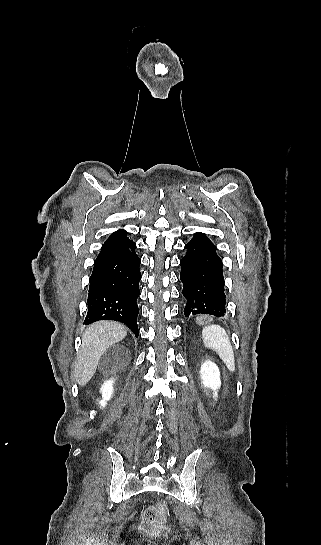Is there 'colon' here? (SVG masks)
<instances>
[{
  "label": "colon",
  "instance_id": "obj_1",
  "mask_svg": "<svg viewBox=\"0 0 321 545\" xmlns=\"http://www.w3.org/2000/svg\"><path fill=\"white\" fill-rule=\"evenodd\" d=\"M167 510L163 505L148 507L142 516L141 530L148 536H161L165 533Z\"/></svg>",
  "mask_w": 321,
  "mask_h": 545
}]
</instances>
